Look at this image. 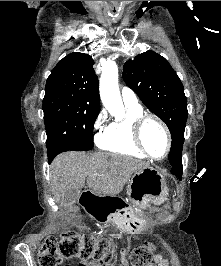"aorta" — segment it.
<instances>
[{
	"label": "aorta",
	"mask_w": 221,
	"mask_h": 266,
	"mask_svg": "<svg viewBox=\"0 0 221 266\" xmlns=\"http://www.w3.org/2000/svg\"><path fill=\"white\" fill-rule=\"evenodd\" d=\"M100 97L108 112L118 119L124 116V106L118 87V67L113 61L107 62L102 68L100 78Z\"/></svg>",
	"instance_id": "1"
}]
</instances>
